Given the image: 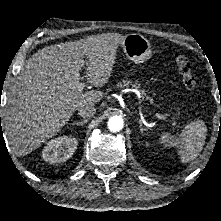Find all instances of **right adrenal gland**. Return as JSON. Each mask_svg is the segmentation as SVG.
<instances>
[{
	"instance_id": "obj_1",
	"label": "right adrenal gland",
	"mask_w": 221,
	"mask_h": 221,
	"mask_svg": "<svg viewBox=\"0 0 221 221\" xmlns=\"http://www.w3.org/2000/svg\"><path fill=\"white\" fill-rule=\"evenodd\" d=\"M88 120L85 119V120H82V121H77V122H74L73 125H77V126H83L85 123H87Z\"/></svg>"
}]
</instances>
